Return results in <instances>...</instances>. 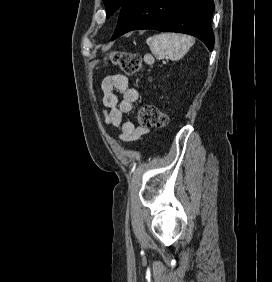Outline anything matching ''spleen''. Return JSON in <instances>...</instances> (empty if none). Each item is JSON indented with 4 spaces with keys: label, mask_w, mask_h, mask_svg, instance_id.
Here are the masks:
<instances>
[{
    "label": "spleen",
    "mask_w": 272,
    "mask_h": 282,
    "mask_svg": "<svg viewBox=\"0 0 272 282\" xmlns=\"http://www.w3.org/2000/svg\"><path fill=\"white\" fill-rule=\"evenodd\" d=\"M146 42L156 58L168 57L172 60H179L194 45L195 40L186 35L161 33L149 37Z\"/></svg>",
    "instance_id": "spleen-1"
}]
</instances>
